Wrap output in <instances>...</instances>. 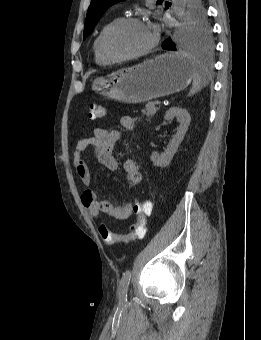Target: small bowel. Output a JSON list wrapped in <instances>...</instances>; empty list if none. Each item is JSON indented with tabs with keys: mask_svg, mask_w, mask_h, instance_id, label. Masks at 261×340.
Segmentation results:
<instances>
[{
	"mask_svg": "<svg viewBox=\"0 0 261 340\" xmlns=\"http://www.w3.org/2000/svg\"><path fill=\"white\" fill-rule=\"evenodd\" d=\"M136 119L132 116H123L121 125L127 130H133ZM121 137V132L107 130L101 127L94 129L93 136L81 139L77 142L74 155L73 166L83 186L88 187L91 181L89 166L83 157L84 151L91 147L96 152L98 160L109 170H117L119 162L114 154L117 141ZM123 170L126 181L129 185L137 187L142 182V175L135 160L127 158L123 162ZM81 201L91 216H98L104 213L114 219L124 220L131 216L133 211L132 203L127 201L124 204L98 199L96 189H86L81 195Z\"/></svg>",
	"mask_w": 261,
	"mask_h": 340,
	"instance_id": "small-bowel-1",
	"label": "small bowel"
}]
</instances>
